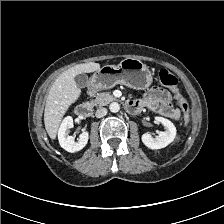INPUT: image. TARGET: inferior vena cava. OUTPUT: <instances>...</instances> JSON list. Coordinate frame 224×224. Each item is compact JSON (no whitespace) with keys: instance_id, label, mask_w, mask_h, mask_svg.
Listing matches in <instances>:
<instances>
[{"instance_id":"inferior-vena-cava-1","label":"inferior vena cava","mask_w":224,"mask_h":224,"mask_svg":"<svg viewBox=\"0 0 224 224\" xmlns=\"http://www.w3.org/2000/svg\"><path fill=\"white\" fill-rule=\"evenodd\" d=\"M106 114H107V109L106 108H99V109L96 110V113H95L97 118H102Z\"/></svg>"}]
</instances>
